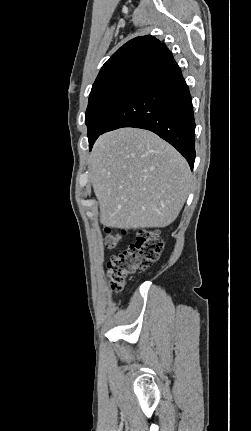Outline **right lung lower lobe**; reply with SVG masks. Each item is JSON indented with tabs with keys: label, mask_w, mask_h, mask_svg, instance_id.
<instances>
[{
	"label": "right lung lower lobe",
	"mask_w": 251,
	"mask_h": 431,
	"mask_svg": "<svg viewBox=\"0 0 251 431\" xmlns=\"http://www.w3.org/2000/svg\"><path fill=\"white\" fill-rule=\"evenodd\" d=\"M121 127L142 128L156 133L174 146L193 169L195 120L191 95L169 50L161 49L152 56L144 74L110 117L101 134Z\"/></svg>",
	"instance_id": "right-lung-lower-lobe-1"
}]
</instances>
